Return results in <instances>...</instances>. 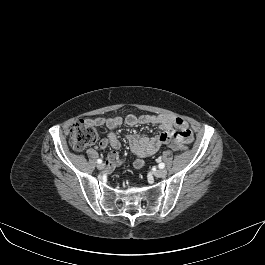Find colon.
I'll return each mask as SVG.
<instances>
[{"label":"colon","instance_id":"1","mask_svg":"<svg viewBox=\"0 0 265 265\" xmlns=\"http://www.w3.org/2000/svg\"><path fill=\"white\" fill-rule=\"evenodd\" d=\"M98 140L95 127L86 120L75 121L70 128V144L75 150H83ZM169 147L185 151L186 145L176 139L170 141Z\"/></svg>","mask_w":265,"mask_h":265}]
</instances>
